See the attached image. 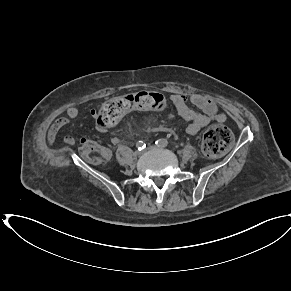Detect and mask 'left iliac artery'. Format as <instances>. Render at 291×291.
I'll return each mask as SVG.
<instances>
[{
    "instance_id": "obj_1",
    "label": "left iliac artery",
    "mask_w": 291,
    "mask_h": 291,
    "mask_svg": "<svg viewBox=\"0 0 291 291\" xmlns=\"http://www.w3.org/2000/svg\"><path fill=\"white\" fill-rule=\"evenodd\" d=\"M155 144L159 147H166L168 145V141L166 139H159L155 142Z\"/></svg>"
}]
</instances>
